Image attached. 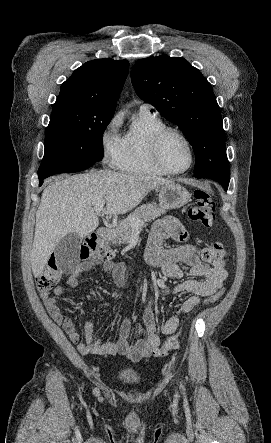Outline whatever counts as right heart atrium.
Wrapping results in <instances>:
<instances>
[{"instance_id": "obj_1", "label": "right heart atrium", "mask_w": 271, "mask_h": 443, "mask_svg": "<svg viewBox=\"0 0 271 443\" xmlns=\"http://www.w3.org/2000/svg\"><path fill=\"white\" fill-rule=\"evenodd\" d=\"M122 124L123 113L118 111L106 122L100 135L103 156L113 166L117 165L122 153V138L120 135Z\"/></svg>"}]
</instances>
